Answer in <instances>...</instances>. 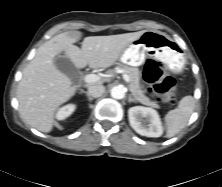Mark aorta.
I'll return each mask as SVG.
<instances>
[{"label": "aorta", "instance_id": "1", "mask_svg": "<svg viewBox=\"0 0 222 187\" xmlns=\"http://www.w3.org/2000/svg\"><path fill=\"white\" fill-rule=\"evenodd\" d=\"M111 96L114 99H123L125 97V89L122 86H115L111 89Z\"/></svg>", "mask_w": 222, "mask_h": 187}]
</instances>
